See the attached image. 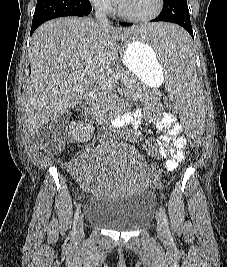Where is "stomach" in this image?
Masks as SVG:
<instances>
[{
	"label": "stomach",
	"instance_id": "stomach-1",
	"mask_svg": "<svg viewBox=\"0 0 227 267\" xmlns=\"http://www.w3.org/2000/svg\"><path fill=\"white\" fill-rule=\"evenodd\" d=\"M122 61L148 87H157L163 80L166 63L164 59H157L154 47H146L145 43L126 41Z\"/></svg>",
	"mask_w": 227,
	"mask_h": 267
}]
</instances>
